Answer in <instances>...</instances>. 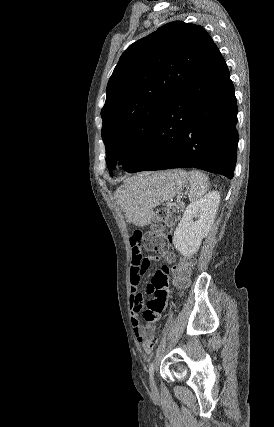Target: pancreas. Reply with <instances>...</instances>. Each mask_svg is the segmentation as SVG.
I'll return each mask as SVG.
<instances>
[{"label": "pancreas", "mask_w": 274, "mask_h": 427, "mask_svg": "<svg viewBox=\"0 0 274 427\" xmlns=\"http://www.w3.org/2000/svg\"><path fill=\"white\" fill-rule=\"evenodd\" d=\"M184 208H185L184 202H178V204H176L177 212H183Z\"/></svg>", "instance_id": "pancreas-1"}]
</instances>
